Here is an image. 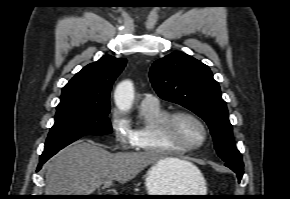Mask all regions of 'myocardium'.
I'll use <instances>...</instances> for the list:
<instances>
[{
	"label": "myocardium",
	"instance_id": "myocardium-1",
	"mask_svg": "<svg viewBox=\"0 0 290 199\" xmlns=\"http://www.w3.org/2000/svg\"><path fill=\"white\" fill-rule=\"evenodd\" d=\"M181 117L189 118L195 121L201 127L203 131V138L200 143L195 145H186L172 136L173 124L178 118ZM158 132L160 137L163 138L169 148L179 150L183 153L195 151L201 148L208 140V129L205 123L194 113L185 110H177L168 113V115L160 123Z\"/></svg>",
	"mask_w": 290,
	"mask_h": 199
}]
</instances>
